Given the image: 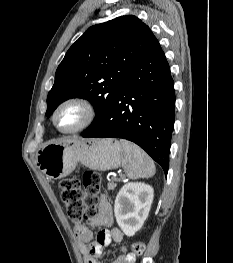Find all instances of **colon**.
Wrapping results in <instances>:
<instances>
[{
  "label": "colon",
  "instance_id": "colon-1",
  "mask_svg": "<svg viewBox=\"0 0 233 263\" xmlns=\"http://www.w3.org/2000/svg\"><path fill=\"white\" fill-rule=\"evenodd\" d=\"M102 178L94 171H87L83 176V190L80 181L75 177L65 178L60 181L61 199L71 221L81 223L97 214L98 194L101 188ZM146 249L143 241L132 243V251L140 256Z\"/></svg>",
  "mask_w": 233,
  "mask_h": 263
}]
</instances>
